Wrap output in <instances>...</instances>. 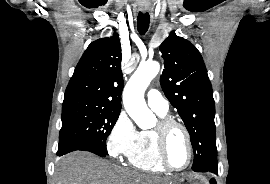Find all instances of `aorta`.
Masks as SVG:
<instances>
[{"label":"aorta","instance_id":"aorta-1","mask_svg":"<svg viewBox=\"0 0 270 184\" xmlns=\"http://www.w3.org/2000/svg\"><path fill=\"white\" fill-rule=\"evenodd\" d=\"M159 70L160 64L156 61L141 63L124 88L125 110L141 129H149L155 124V115L148 109L144 93Z\"/></svg>","mask_w":270,"mask_h":184}]
</instances>
